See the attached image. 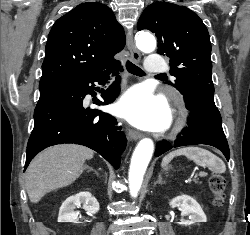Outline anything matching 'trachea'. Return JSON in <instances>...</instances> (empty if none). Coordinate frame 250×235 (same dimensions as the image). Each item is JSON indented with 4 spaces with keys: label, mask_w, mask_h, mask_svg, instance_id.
Returning <instances> with one entry per match:
<instances>
[{
    "label": "trachea",
    "mask_w": 250,
    "mask_h": 235,
    "mask_svg": "<svg viewBox=\"0 0 250 235\" xmlns=\"http://www.w3.org/2000/svg\"><path fill=\"white\" fill-rule=\"evenodd\" d=\"M126 68H127L128 72L133 74V75H137V76L145 75L143 70H141L138 66H136L135 64H133L130 61L126 62ZM157 77H165V75L159 74V75H157Z\"/></svg>",
    "instance_id": "trachea-1"
}]
</instances>
